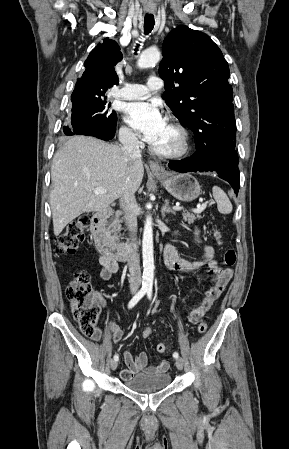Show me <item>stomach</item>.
I'll return each instance as SVG.
<instances>
[{
	"instance_id": "obj_1",
	"label": "stomach",
	"mask_w": 289,
	"mask_h": 449,
	"mask_svg": "<svg viewBox=\"0 0 289 449\" xmlns=\"http://www.w3.org/2000/svg\"><path fill=\"white\" fill-rule=\"evenodd\" d=\"M165 189L176 199L183 202H191L200 195V185L195 177L189 173L180 174H155Z\"/></svg>"
}]
</instances>
